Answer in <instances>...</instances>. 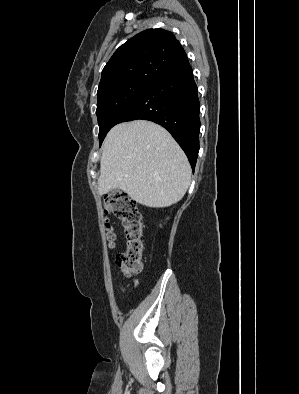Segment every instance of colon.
I'll list each match as a JSON object with an SVG mask.
<instances>
[{
    "instance_id": "colon-1",
    "label": "colon",
    "mask_w": 299,
    "mask_h": 394,
    "mask_svg": "<svg viewBox=\"0 0 299 394\" xmlns=\"http://www.w3.org/2000/svg\"><path fill=\"white\" fill-rule=\"evenodd\" d=\"M105 214L116 216L123 225L126 236V250L116 257L117 265L125 277L138 274L142 268V256L144 250L142 215L136 202L128 194L115 192L106 196L103 200ZM107 240L113 248L116 241V231L109 219L105 221Z\"/></svg>"
}]
</instances>
